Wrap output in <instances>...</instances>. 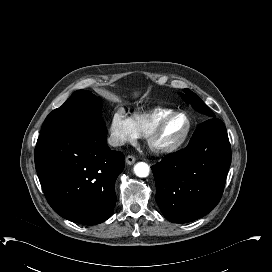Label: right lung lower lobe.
Masks as SVG:
<instances>
[{"instance_id":"obj_1","label":"right lung lower lobe","mask_w":272,"mask_h":272,"mask_svg":"<svg viewBox=\"0 0 272 272\" xmlns=\"http://www.w3.org/2000/svg\"><path fill=\"white\" fill-rule=\"evenodd\" d=\"M106 134L102 119L84 117L54 125L37 140L35 167L45 197L67 220L95 225L113 212L125 157L108 147Z\"/></svg>"}]
</instances>
